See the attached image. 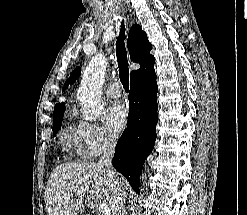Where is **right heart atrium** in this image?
I'll return each instance as SVG.
<instances>
[{"label": "right heart atrium", "mask_w": 247, "mask_h": 215, "mask_svg": "<svg viewBox=\"0 0 247 215\" xmlns=\"http://www.w3.org/2000/svg\"><path fill=\"white\" fill-rule=\"evenodd\" d=\"M77 134L84 145L85 156L94 158L116 146L117 136L97 122H80Z\"/></svg>", "instance_id": "right-heart-atrium-1"}]
</instances>
